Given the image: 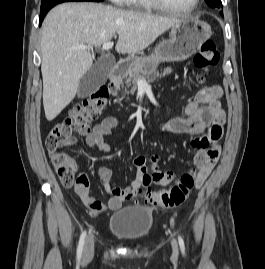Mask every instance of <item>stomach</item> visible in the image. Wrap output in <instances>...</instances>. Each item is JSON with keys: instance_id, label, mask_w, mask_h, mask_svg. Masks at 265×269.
<instances>
[{"instance_id": "1", "label": "stomach", "mask_w": 265, "mask_h": 269, "mask_svg": "<svg viewBox=\"0 0 265 269\" xmlns=\"http://www.w3.org/2000/svg\"><path fill=\"white\" fill-rule=\"evenodd\" d=\"M212 35L208 23L193 18L182 19L171 30V37L163 40L149 57L129 58L127 67L141 74L155 72L160 62L184 61L195 54Z\"/></svg>"}]
</instances>
